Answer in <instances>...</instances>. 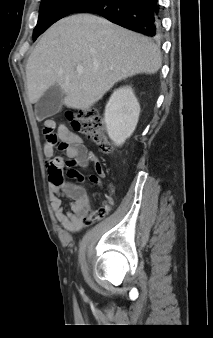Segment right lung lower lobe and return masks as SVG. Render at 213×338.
<instances>
[{"instance_id": "1", "label": "right lung lower lobe", "mask_w": 213, "mask_h": 338, "mask_svg": "<svg viewBox=\"0 0 213 338\" xmlns=\"http://www.w3.org/2000/svg\"><path fill=\"white\" fill-rule=\"evenodd\" d=\"M98 14L109 21L150 37L160 34L158 0H92L74 13Z\"/></svg>"}]
</instances>
